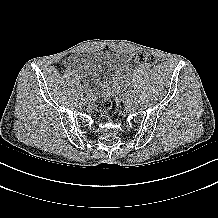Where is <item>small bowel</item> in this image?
<instances>
[{"label":"small bowel","mask_w":218,"mask_h":218,"mask_svg":"<svg viewBox=\"0 0 218 218\" xmlns=\"http://www.w3.org/2000/svg\"><path fill=\"white\" fill-rule=\"evenodd\" d=\"M76 62V58L75 57H70L68 64H74Z\"/></svg>","instance_id":"obj_1"}]
</instances>
